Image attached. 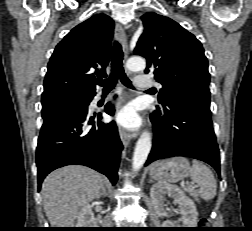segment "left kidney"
Here are the masks:
<instances>
[{
  "instance_id": "5707ae66",
  "label": "left kidney",
  "mask_w": 252,
  "mask_h": 231,
  "mask_svg": "<svg viewBox=\"0 0 252 231\" xmlns=\"http://www.w3.org/2000/svg\"><path fill=\"white\" fill-rule=\"evenodd\" d=\"M166 196L174 199V203L179 205V211L182 215L180 218L182 225L178 222L171 221H167V225L170 228H195L198 216L196 206L193 200L175 186L166 183H157L151 187L150 197L156 213L159 216H164L166 214V205L164 204Z\"/></svg>"
}]
</instances>
